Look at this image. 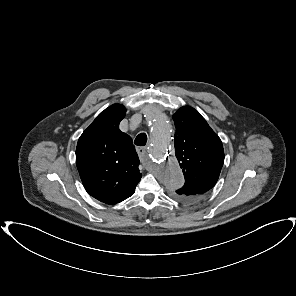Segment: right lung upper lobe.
<instances>
[{
    "mask_svg": "<svg viewBox=\"0 0 296 296\" xmlns=\"http://www.w3.org/2000/svg\"><path fill=\"white\" fill-rule=\"evenodd\" d=\"M123 105L102 111L80 136L76 164L86 191L97 200L115 204L130 197L141 179L132 139L119 129Z\"/></svg>",
    "mask_w": 296,
    "mask_h": 296,
    "instance_id": "right-lung-upper-lobe-1",
    "label": "right lung upper lobe"
}]
</instances>
